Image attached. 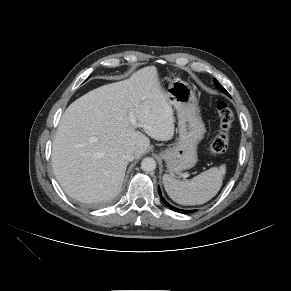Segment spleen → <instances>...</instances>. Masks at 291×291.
Instances as JSON below:
<instances>
[{"label": "spleen", "mask_w": 291, "mask_h": 291, "mask_svg": "<svg viewBox=\"0 0 291 291\" xmlns=\"http://www.w3.org/2000/svg\"><path fill=\"white\" fill-rule=\"evenodd\" d=\"M226 165L212 167L187 181H180L169 174L163 175L168 196L180 205H201L212 199L220 190Z\"/></svg>", "instance_id": "spleen-1"}]
</instances>
